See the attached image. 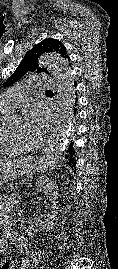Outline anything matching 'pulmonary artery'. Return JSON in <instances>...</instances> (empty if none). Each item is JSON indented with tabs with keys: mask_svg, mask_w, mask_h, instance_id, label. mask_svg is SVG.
<instances>
[{
	"mask_svg": "<svg viewBox=\"0 0 118 269\" xmlns=\"http://www.w3.org/2000/svg\"><path fill=\"white\" fill-rule=\"evenodd\" d=\"M34 87L37 90L51 89L55 86L54 81L45 75H39L31 78L27 83H19L8 89L0 95V107L6 110L13 111L23 97L25 89Z\"/></svg>",
	"mask_w": 118,
	"mask_h": 269,
	"instance_id": "obj_1",
	"label": "pulmonary artery"
}]
</instances>
